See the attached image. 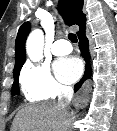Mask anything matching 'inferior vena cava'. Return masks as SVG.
<instances>
[{
	"label": "inferior vena cava",
	"mask_w": 117,
	"mask_h": 131,
	"mask_svg": "<svg viewBox=\"0 0 117 131\" xmlns=\"http://www.w3.org/2000/svg\"><path fill=\"white\" fill-rule=\"evenodd\" d=\"M74 90L71 86H60L58 94L59 106L68 111L69 103L73 97Z\"/></svg>",
	"instance_id": "602c4592"
}]
</instances>
